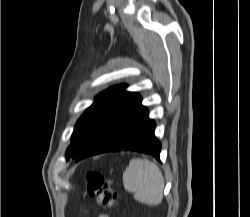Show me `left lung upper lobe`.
I'll return each instance as SVG.
<instances>
[{
	"mask_svg": "<svg viewBox=\"0 0 250 217\" xmlns=\"http://www.w3.org/2000/svg\"><path fill=\"white\" fill-rule=\"evenodd\" d=\"M126 85L113 87L115 93L99 97L77 121L71 137V145L66 151V160L77 157L117 112L123 103L133 94L124 91Z\"/></svg>",
	"mask_w": 250,
	"mask_h": 217,
	"instance_id": "5c2ea615",
	"label": "left lung upper lobe"
}]
</instances>
